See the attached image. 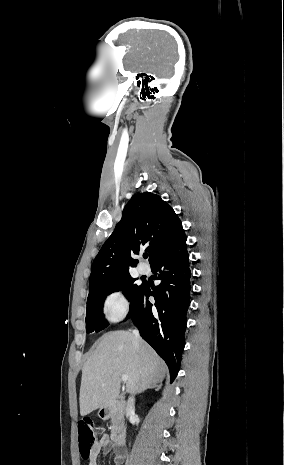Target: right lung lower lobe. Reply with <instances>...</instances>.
<instances>
[{
	"mask_svg": "<svg viewBox=\"0 0 284 465\" xmlns=\"http://www.w3.org/2000/svg\"><path fill=\"white\" fill-rule=\"evenodd\" d=\"M187 238L151 264L161 283L151 290L147 284L130 302L131 318L147 341L166 362L171 382L177 376L185 346L187 315L191 301L192 275ZM159 272V273H157ZM154 296L155 303L148 301Z\"/></svg>",
	"mask_w": 284,
	"mask_h": 465,
	"instance_id": "right-lung-lower-lobe-1",
	"label": "right lung lower lobe"
}]
</instances>
